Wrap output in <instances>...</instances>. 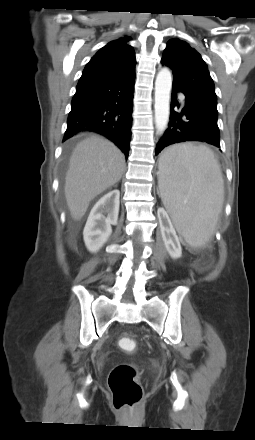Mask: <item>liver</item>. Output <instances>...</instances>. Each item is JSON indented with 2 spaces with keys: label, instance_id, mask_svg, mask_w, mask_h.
<instances>
[{
  "label": "liver",
  "instance_id": "1",
  "mask_svg": "<svg viewBox=\"0 0 255 440\" xmlns=\"http://www.w3.org/2000/svg\"><path fill=\"white\" fill-rule=\"evenodd\" d=\"M125 168L123 153L110 141L92 135L79 142L65 178V198L75 221L85 215L90 202L120 181Z\"/></svg>",
  "mask_w": 255,
  "mask_h": 440
}]
</instances>
